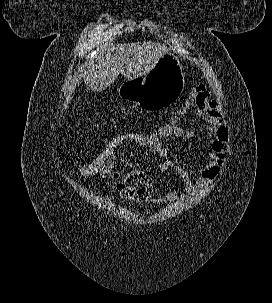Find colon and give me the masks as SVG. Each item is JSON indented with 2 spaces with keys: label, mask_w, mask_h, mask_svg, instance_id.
Here are the masks:
<instances>
[{
  "label": "colon",
  "mask_w": 272,
  "mask_h": 303,
  "mask_svg": "<svg viewBox=\"0 0 272 303\" xmlns=\"http://www.w3.org/2000/svg\"><path fill=\"white\" fill-rule=\"evenodd\" d=\"M183 127L177 116L160 123L153 130L145 132H130L114 136L91 159L79 164L74 169V175L78 179H91L102 176L115 170L117 156L126 149L140 144H154L163 142ZM140 184L128 195L132 200L147 198L152 190V178L142 173Z\"/></svg>",
  "instance_id": "obj_1"
}]
</instances>
